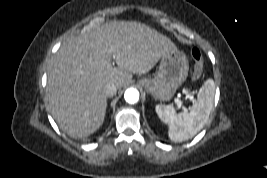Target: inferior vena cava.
<instances>
[{
  "instance_id": "inferior-vena-cava-1",
  "label": "inferior vena cava",
  "mask_w": 267,
  "mask_h": 178,
  "mask_svg": "<svg viewBox=\"0 0 267 178\" xmlns=\"http://www.w3.org/2000/svg\"><path fill=\"white\" fill-rule=\"evenodd\" d=\"M105 95L107 97H112L116 94L117 92V86L114 84V83H108L106 86H105Z\"/></svg>"
}]
</instances>
